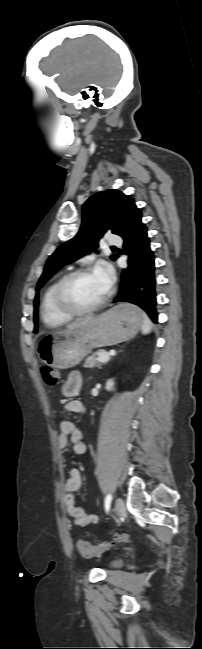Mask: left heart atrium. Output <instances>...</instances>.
Returning a JSON list of instances; mask_svg holds the SVG:
<instances>
[{
  "mask_svg": "<svg viewBox=\"0 0 202 649\" xmlns=\"http://www.w3.org/2000/svg\"><path fill=\"white\" fill-rule=\"evenodd\" d=\"M93 275L106 290L109 289L113 282L114 275L113 270L108 263L104 261L98 262L93 271Z\"/></svg>",
  "mask_w": 202,
  "mask_h": 649,
  "instance_id": "1",
  "label": "left heart atrium"
}]
</instances>
